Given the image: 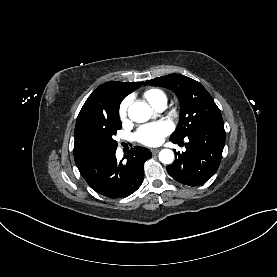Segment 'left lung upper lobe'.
<instances>
[{"label": "left lung upper lobe", "mask_w": 277, "mask_h": 277, "mask_svg": "<svg viewBox=\"0 0 277 277\" xmlns=\"http://www.w3.org/2000/svg\"><path fill=\"white\" fill-rule=\"evenodd\" d=\"M175 92L181 104L180 120L170 140H183L200 126L222 120L219 108L208 91L197 81L181 74H170L145 82Z\"/></svg>", "instance_id": "1"}]
</instances>
